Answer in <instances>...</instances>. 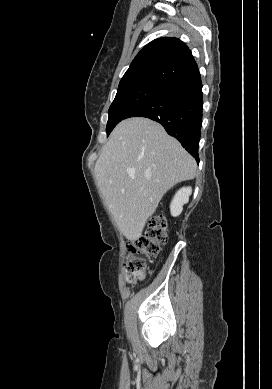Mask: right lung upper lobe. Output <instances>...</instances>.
Wrapping results in <instances>:
<instances>
[{"label":"right lung upper lobe","mask_w":272,"mask_h":389,"mask_svg":"<svg viewBox=\"0 0 272 389\" xmlns=\"http://www.w3.org/2000/svg\"><path fill=\"white\" fill-rule=\"evenodd\" d=\"M198 69L189 48L177 38H158L134 58L119 85L138 81L168 84Z\"/></svg>","instance_id":"right-lung-upper-lobe-1"}]
</instances>
